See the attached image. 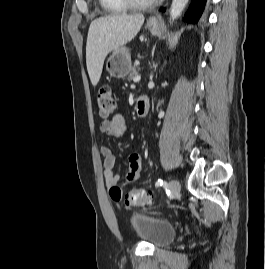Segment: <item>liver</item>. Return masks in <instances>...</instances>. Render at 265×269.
Wrapping results in <instances>:
<instances>
[{"label": "liver", "instance_id": "liver-1", "mask_svg": "<svg viewBox=\"0 0 265 269\" xmlns=\"http://www.w3.org/2000/svg\"><path fill=\"white\" fill-rule=\"evenodd\" d=\"M142 14L109 15L92 21L86 43V65L93 86L100 80L106 56L134 39L140 31Z\"/></svg>", "mask_w": 265, "mask_h": 269}]
</instances>
